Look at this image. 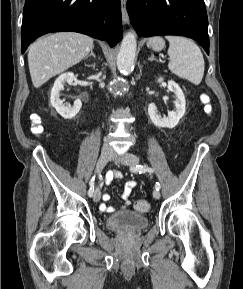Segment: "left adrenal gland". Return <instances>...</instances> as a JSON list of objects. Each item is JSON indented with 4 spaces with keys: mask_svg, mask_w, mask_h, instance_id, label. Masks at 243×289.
Wrapping results in <instances>:
<instances>
[{
    "mask_svg": "<svg viewBox=\"0 0 243 289\" xmlns=\"http://www.w3.org/2000/svg\"><path fill=\"white\" fill-rule=\"evenodd\" d=\"M148 60H149V61H153V60H157V59L155 58L154 54H151V57L148 58Z\"/></svg>",
    "mask_w": 243,
    "mask_h": 289,
    "instance_id": "1",
    "label": "left adrenal gland"
}]
</instances>
